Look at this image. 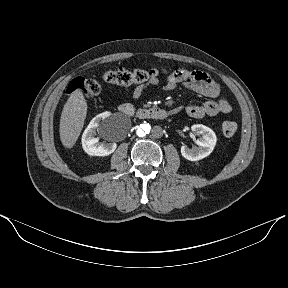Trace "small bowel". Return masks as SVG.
Here are the masks:
<instances>
[{
    "mask_svg": "<svg viewBox=\"0 0 288 288\" xmlns=\"http://www.w3.org/2000/svg\"><path fill=\"white\" fill-rule=\"evenodd\" d=\"M160 72L165 76V80L161 83L160 79L155 75L145 83L138 84L130 92L132 97L138 99L143 92L151 86H161L165 91H172L178 86H183L191 91L201 94L207 98L201 105H188L185 112L192 118H202L204 116H215L221 113H229L232 109L230 102L220 97L219 84L207 73L198 70H174L168 71L166 68H160ZM181 110L177 108L176 111Z\"/></svg>",
    "mask_w": 288,
    "mask_h": 288,
    "instance_id": "c3829d8e",
    "label": "small bowel"
}]
</instances>
